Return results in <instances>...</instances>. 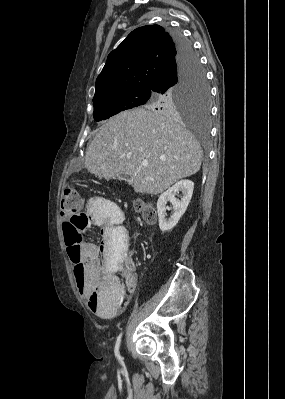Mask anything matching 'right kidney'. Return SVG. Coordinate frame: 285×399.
I'll return each instance as SVG.
<instances>
[{"label":"right kidney","mask_w":285,"mask_h":399,"mask_svg":"<svg viewBox=\"0 0 285 399\" xmlns=\"http://www.w3.org/2000/svg\"><path fill=\"white\" fill-rule=\"evenodd\" d=\"M193 189L194 183L192 181L181 180L160 195L157 201V211L159 218V228L161 231H169L177 225L178 221L183 216L189 205V202L192 198ZM180 191L183 193L181 201H179L175 197V195L178 194ZM168 201L172 203L174 213L167 220L166 210L168 207L166 206V204Z\"/></svg>","instance_id":"1"}]
</instances>
